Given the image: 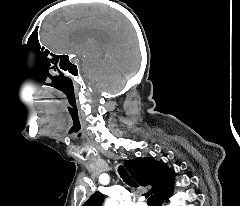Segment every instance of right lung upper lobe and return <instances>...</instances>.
I'll return each instance as SVG.
<instances>
[{
	"label": "right lung upper lobe",
	"mask_w": 240,
	"mask_h": 206,
	"mask_svg": "<svg viewBox=\"0 0 240 206\" xmlns=\"http://www.w3.org/2000/svg\"><path fill=\"white\" fill-rule=\"evenodd\" d=\"M125 166L141 186H151L150 194L156 200L171 193L174 181L172 172L165 163L154 161L153 158H136L126 160ZM104 195L95 192L83 206H101Z\"/></svg>",
	"instance_id": "obj_1"
}]
</instances>
